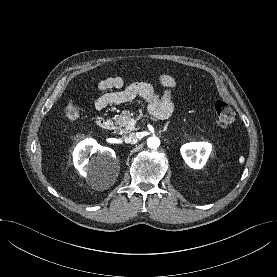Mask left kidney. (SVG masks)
Listing matches in <instances>:
<instances>
[{
  "label": "left kidney",
  "mask_w": 277,
  "mask_h": 277,
  "mask_svg": "<svg viewBox=\"0 0 277 277\" xmlns=\"http://www.w3.org/2000/svg\"><path fill=\"white\" fill-rule=\"evenodd\" d=\"M186 164L193 169H201L211 152V144L207 142H192L183 145L180 149Z\"/></svg>",
  "instance_id": "left-kidney-1"
}]
</instances>
